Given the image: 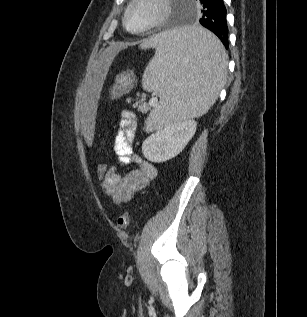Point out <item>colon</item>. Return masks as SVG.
<instances>
[{"instance_id": "obj_1", "label": "colon", "mask_w": 307, "mask_h": 317, "mask_svg": "<svg viewBox=\"0 0 307 317\" xmlns=\"http://www.w3.org/2000/svg\"><path fill=\"white\" fill-rule=\"evenodd\" d=\"M108 166L104 162H99L96 166V174L99 178H103L107 172ZM117 227L125 230L129 225V214L127 211H121L116 220Z\"/></svg>"}]
</instances>
